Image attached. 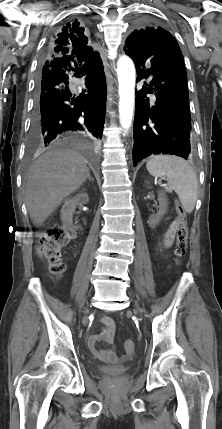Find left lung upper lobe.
<instances>
[{"label": "left lung upper lobe", "instance_id": "left-lung-upper-lobe-1", "mask_svg": "<svg viewBox=\"0 0 222 429\" xmlns=\"http://www.w3.org/2000/svg\"><path fill=\"white\" fill-rule=\"evenodd\" d=\"M168 31L162 29L161 27H145L142 29L134 30L132 34L126 40V50L130 48L133 44L139 42H145L146 44L150 42L149 45H156L162 41V34H166Z\"/></svg>", "mask_w": 222, "mask_h": 429}]
</instances>
